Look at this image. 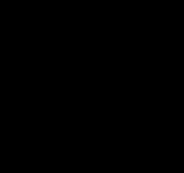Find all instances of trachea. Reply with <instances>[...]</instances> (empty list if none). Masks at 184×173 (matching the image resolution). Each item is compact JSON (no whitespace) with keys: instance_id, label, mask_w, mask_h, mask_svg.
Segmentation results:
<instances>
[{"instance_id":"trachea-1","label":"trachea","mask_w":184,"mask_h":173,"mask_svg":"<svg viewBox=\"0 0 184 173\" xmlns=\"http://www.w3.org/2000/svg\"><path fill=\"white\" fill-rule=\"evenodd\" d=\"M79 110H80V106H76L71 111L73 114H76V113H78Z\"/></svg>"}]
</instances>
